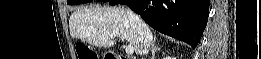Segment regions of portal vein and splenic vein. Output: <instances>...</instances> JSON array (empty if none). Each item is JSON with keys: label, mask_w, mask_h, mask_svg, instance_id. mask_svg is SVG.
<instances>
[{"label": "portal vein and splenic vein", "mask_w": 261, "mask_h": 59, "mask_svg": "<svg viewBox=\"0 0 261 59\" xmlns=\"http://www.w3.org/2000/svg\"><path fill=\"white\" fill-rule=\"evenodd\" d=\"M111 38L113 39L114 37H111ZM125 51L127 54L131 55L134 52V48H133V46L128 45V46H126Z\"/></svg>", "instance_id": "portal-vein-and-splenic-vein-1"}]
</instances>
